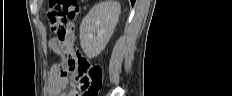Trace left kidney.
Masks as SVG:
<instances>
[{
  "instance_id": "5707ae66",
  "label": "left kidney",
  "mask_w": 232,
  "mask_h": 96,
  "mask_svg": "<svg viewBox=\"0 0 232 96\" xmlns=\"http://www.w3.org/2000/svg\"><path fill=\"white\" fill-rule=\"evenodd\" d=\"M121 6L108 0L95 5L80 25V44L88 58H94L106 47L117 25Z\"/></svg>"
}]
</instances>
